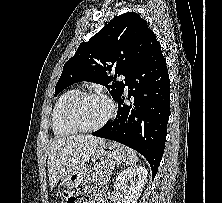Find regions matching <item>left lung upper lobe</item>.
<instances>
[{"label": "left lung upper lobe", "instance_id": "obj_1", "mask_svg": "<svg viewBox=\"0 0 222 203\" xmlns=\"http://www.w3.org/2000/svg\"><path fill=\"white\" fill-rule=\"evenodd\" d=\"M151 30L135 12L124 13L105 25L97 34L83 42L63 67L55 86V96L73 83L89 81L105 86L117 99L124 83L117 75L129 76L142 57ZM115 71L114 76L109 72Z\"/></svg>", "mask_w": 222, "mask_h": 203}]
</instances>
